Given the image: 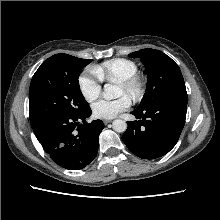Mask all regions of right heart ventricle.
<instances>
[{
  "instance_id": "e07e8e85",
  "label": "right heart ventricle",
  "mask_w": 220,
  "mask_h": 220,
  "mask_svg": "<svg viewBox=\"0 0 220 220\" xmlns=\"http://www.w3.org/2000/svg\"><path fill=\"white\" fill-rule=\"evenodd\" d=\"M93 71L101 81L118 83L138 74V66L129 59L114 58L94 66Z\"/></svg>"
}]
</instances>
